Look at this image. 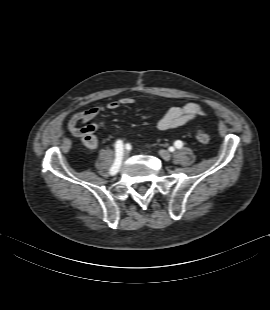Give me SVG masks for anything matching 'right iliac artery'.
Wrapping results in <instances>:
<instances>
[{
    "mask_svg": "<svg viewBox=\"0 0 270 310\" xmlns=\"http://www.w3.org/2000/svg\"><path fill=\"white\" fill-rule=\"evenodd\" d=\"M116 158L110 169V174L115 175L118 172V169L122 162L123 156V142L121 140L116 141L115 144Z\"/></svg>",
    "mask_w": 270,
    "mask_h": 310,
    "instance_id": "obj_1",
    "label": "right iliac artery"
}]
</instances>
